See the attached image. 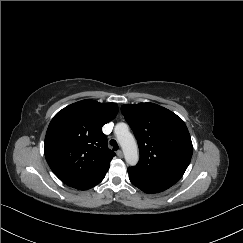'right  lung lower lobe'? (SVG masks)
<instances>
[{"mask_svg":"<svg viewBox=\"0 0 243 243\" xmlns=\"http://www.w3.org/2000/svg\"><path fill=\"white\" fill-rule=\"evenodd\" d=\"M107 171L108 170L102 172L101 174H99L96 177L92 178L88 182L76 185L73 188H76V189H79V190L90 189V188L94 187L95 185H97L98 183H100L103 180V178L105 177V174H106Z\"/></svg>","mask_w":243,"mask_h":243,"instance_id":"obj_1","label":"right lung lower lobe"}]
</instances>
